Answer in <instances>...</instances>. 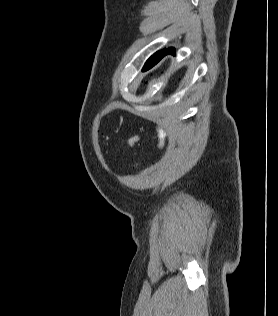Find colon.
<instances>
[{
	"instance_id": "obj_1",
	"label": "colon",
	"mask_w": 278,
	"mask_h": 316,
	"mask_svg": "<svg viewBox=\"0 0 278 316\" xmlns=\"http://www.w3.org/2000/svg\"><path fill=\"white\" fill-rule=\"evenodd\" d=\"M159 147L162 148L165 142V133L163 130H158Z\"/></svg>"
}]
</instances>
